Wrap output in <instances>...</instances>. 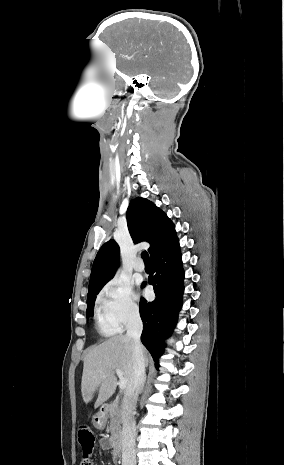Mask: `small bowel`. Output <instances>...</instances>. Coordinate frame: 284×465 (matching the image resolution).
Segmentation results:
<instances>
[{"label": "small bowel", "mask_w": 284, "mask_h": 465, "mask_svg": "<svg viewBox=\"0 0 284 465\" xmlns=\"http://www.w3.org/2000/svg\"><path fill=\"white\" fill-rule=\"evenodd\" d=\"M98 444L102 449H109L110 447V442L106 437H101L98 440ZM110 455L113 460H117L119 457L118 452L116 450H112Z\"/></svg>", "instance_id": "1"}]
</instances>
